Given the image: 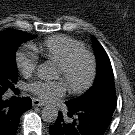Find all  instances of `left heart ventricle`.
Here are the masks:
<instances>
[{"label":"left heart ventricle","instance_id":"1","mask_svg":"<svg viewBox=\"0 0 135 135\" xmlns=\"http://www.w3.org/2000/svg\"><path fill=\"white\" fill-rule=\"evenodd\" d=\"M89 74V64L86 59L79 60L72 70L65 75L58 67L56 71V79H62L67 85L81 86L87 80Z\"/></svg>","mask_w":135,"mask_h":135}]
</instances>
